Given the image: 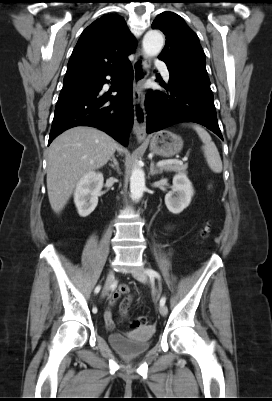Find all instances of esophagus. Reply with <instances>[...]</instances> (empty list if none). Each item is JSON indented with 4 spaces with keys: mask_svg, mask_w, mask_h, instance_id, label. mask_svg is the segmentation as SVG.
<instances>
[{
    "mask_svg": "<svg viewBox=\"0 0 272 401\" xmlns=\"http://www.w3.org/2000/svg\"><path fill=\"white\" fill-rule=\"evenodd\" d=\"M146 57L141 50L136 53L133 61V109L134 125L133 132L139 142L144 141L146 137V112L144 109V98L142 84L146 77Z\"/></svg>",
    "mask_w": 272,
    "mask_h": 401,
    "instance_id": "1",
    "label": "esophagus"
}]
</instances>
